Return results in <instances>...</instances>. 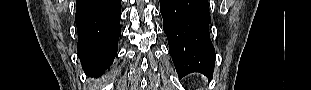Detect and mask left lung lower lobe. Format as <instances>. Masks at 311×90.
I'll return each mask as SVG.
<instances>
[{"label": "left lung lower lobe", "mask_w": 311, "mask_h": 90, "mask_svg": "<svg viewBox=\"0 0 311 90\" xmlns=\"http://www.w3.org/2000/svg\"><path fill=\"white\" fill-rule=\"evenodd\" d=\"M163 29L177 73L212 77L215 50L210 40L208 0H160Z\"/></svg>", "instance_id": "1"}]
</instances>
